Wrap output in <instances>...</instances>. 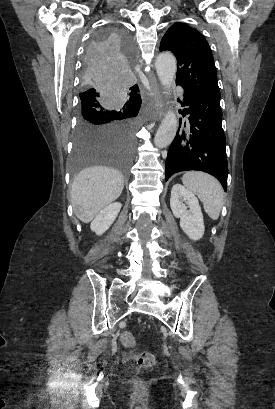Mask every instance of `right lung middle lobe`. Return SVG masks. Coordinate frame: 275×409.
Wrapping results in <instances>:
<instances>
[{"label": "right lung middle lobe", "mask_w": 275, "mask_h": 409, "mask_svg": "<svg viewBox=\"0 0 275 409\" xmlns=\"http://www.w3.org/2000/svg\"><path fill=\"white\" fill-rule=\"evenodd\" d=\"M134 50L133 37L123 24H105L88 43L78 73L83 90L70 159L73 178L79 177L82 167L89 172L99 165H114L124 178L131 176L141 102L125 104V97L115 91L130 85Z\"/></svg>", "instance_id": "obj_1"}]
</instances>
